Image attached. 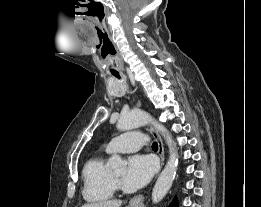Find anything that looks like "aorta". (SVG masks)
Masks as SVG:
<instances>
[{"instance_id": "1", "label": "aorta", "mask_w": 261, "mask_h": 207, "mask_svg": "<svg viewBox=\"0 0 261 207\" xmlns=\"http://www.w3.org/2000/svg\"><path fill=\"white\" fill-rule=\"evenodd\" d=\"M148 123H151L164 136L169 146V160L159 175L152 191V201L153 203H158L171 188L178 167V154L175 147H173L171 135L163 125L152 119L147 112L142 110L122 113L116 126L121 131H127ZM108 165L113 168H119L125 166V162L120 156L113 155L109 159Z\"/></svg>"}]
</instances>
